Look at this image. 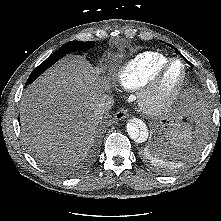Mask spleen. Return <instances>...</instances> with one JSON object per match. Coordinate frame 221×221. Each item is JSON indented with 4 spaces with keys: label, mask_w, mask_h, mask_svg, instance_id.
I'll return each mask as SVG.
<instances>
[{
    "label": "spleen",
    "mask_w": 221,
    "mask_h": 221,
    "mask_svg": "<svg viewBox=\"0 0 221 221\" xmlns=\"http://www.w3.org/2000/svg\"><path fill=\"white\" fill-rule=\"evenodd\" d=\"M165 137L176 149L191 143V130L188 125L178 124L175 128L165 131Z\"/></svg>",
    "instance_id": "1"
}]
</instances>
